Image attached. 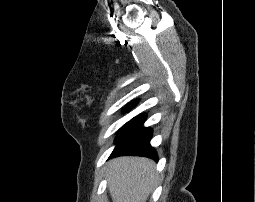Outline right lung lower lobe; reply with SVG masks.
Instances as JSON below:
<instances>
[{"instance_id": "obj_1", "label": "right lung lower lobe", "mask_w": 255, "mask_h": 202, "mask_svg": "<svg viewBox=\"0 0 255 202\" xmlns=\"http://www.w3.org/2000/svg\"><path fill=\"white\" fill-rule=\"evenodd\" d=\"M144 114L133 118L121 130L116 139V147L110 157L121 155L145 156L158 160L155 150L150 145L151 129L143 127Z\"/></svg>"}]
</instances>
